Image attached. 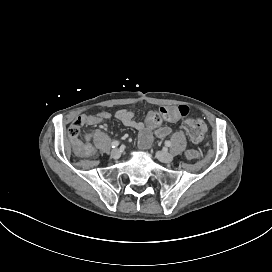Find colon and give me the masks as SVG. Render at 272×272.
<instances>
[{"mask_svg":"<svg viewBox=\"0 0 272 272\" xmlns=\"http://www.w3.org/2000/svg\"><path fill=\"white\" fill-rule=\"evenodd\" d=\"M189 112V108L186 105H180L178 107V113L182 117H186ZM80 121L74 122L73 126L69 130V135L74 137L79 133ZM183 127L189 135L190 139L194 143H199L204 135L205 126L203 120L199 117L185 118L183 121Z\"/></svg>","mask_w":272,"mask_h":272,"instance_id":"1","label":"colon"}]
</instances>
